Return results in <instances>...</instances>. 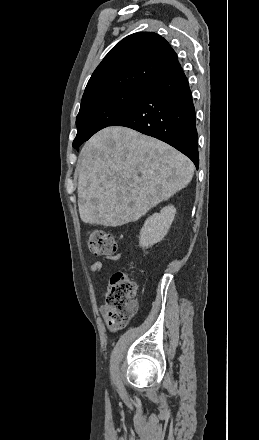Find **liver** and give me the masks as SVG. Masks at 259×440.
Returning <instances> with one entry per match:
<instances>
[{
    "instance_id": "liver-1",
    "label": "liver",
    "mask_w": 259,
    "mask_h": 440,
    "mask_svg": "<svg viewBox=\"0 0 259 440\" xmlns=\"http://www.w3.org/2000/svg\"><path fill=\"white\" fill-rule=\"evenodd\" d=\"M78 207L84 223L134 222L191 182L192 161L170 145L127 127H107L82 148Z\"/></svg>"
}]
</instances>
